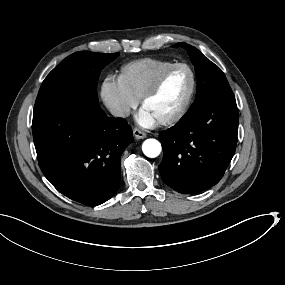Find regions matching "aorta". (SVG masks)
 Wrapping results in <instances>:
<instances>
[{"label": "aorta", "instance_id": "1", "mask_svg": "<svg viewBox=\"0 0 285 285\" xmlns=\"http://www.w3.org/2000/svg\"><path fill=\"white\" fill-rule=\"evenodd\" d=\"M142 150L147 157L155 158L161 152V144L156 139H147L142 144Z\"/></svg>", "mask_w": 285, "mask_h": 285}]
</instances>
